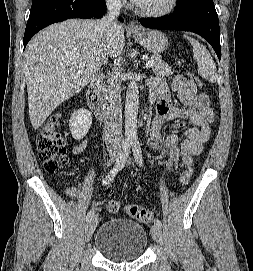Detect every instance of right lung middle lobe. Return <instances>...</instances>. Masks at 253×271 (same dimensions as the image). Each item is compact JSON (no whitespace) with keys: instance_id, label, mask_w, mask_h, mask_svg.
<instances>
[{"instance_id":"1","label":"right lung middle lobe","mask_w":253,"mask_h":271,"mask_svg":"<svg viewBox=\"0 0 253 271\" xmlns=\"http://www.w3.org/2000/svg\"><path fill=\"white\" fill-rule=\"evenodd\" d=\"M36 1H39V0H33V2H36Z\"/></svg>"}]
</instances>
